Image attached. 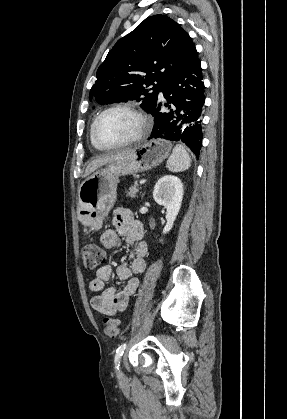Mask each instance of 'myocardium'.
Masks as SVG:
<instances>
[{"label":"myocardium","instance_id":"1","mask_svg":"<svg viewBox=\"0 0 287 419\" xmlns=\"http://www.w3.org/2000/svg\"><path fill=\"white\" fill-rule=\"evenodd\" d=\"M114 110H126L131 112L132 114H134L139 122H140V127L137 131V133L130 139L119 142V143H106L101 141L96 133L97 130V125L99 123V121L102 119V117ZM149 128V123H148V119L147 117L144 115V113L138 109L136 106H134L131 103H127V102H121V103H116L113 104L107 108H105L104 110H102L94 119L92 125H91V135L93 140L101 147L105 148V149H114V148H120V147H124V146H128L131 144L136 143L137 141L141 140L142 137L147 133Z\"/></svg>","mask_w":287,"mask_h":419}]
</instances>
